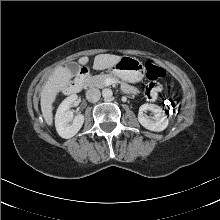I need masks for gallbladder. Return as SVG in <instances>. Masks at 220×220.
Masks as SVG:
<instances>
[{
    "label": "gallbladder",
    "mask_w": 220,
    "mask_h": 220,
    "mask_svg": "<svg viewBox=\"0 0 220 220\" xmlns=\"http://www.w3.org/2000/svg\"><path fill=\"white\" fill-rule=\"evenodd\" d=\"M68 68L75 75L79 71L80 66L77 63H71V64H69Z\"/></svg>",
    "instance_id": "obj_1"
}]
</instances>
